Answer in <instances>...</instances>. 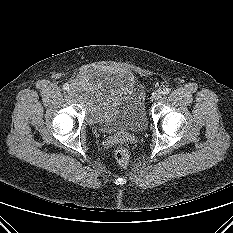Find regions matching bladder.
I'll return each mask as SVG.
<instances>
[{
  "instance_id": "obj_1",
  "label": "bladder",
  "mask_w": 233,
  "mask_h": 233,
  "mask_svg": "<svg viewBox=\"0 0 233 233\" xmlns=\"http://www.w3.org/2000/svg\"><path fill=\"white\" fill-rule=\"evenodd\" d=\"M71 91L84 104L86 120L106 132L147 128L144 91L126 70L87 66L72 80Z\"/></svg>"
}]
</instances>
